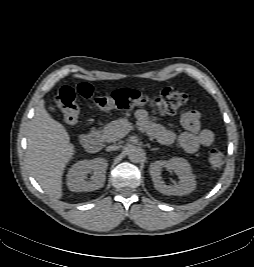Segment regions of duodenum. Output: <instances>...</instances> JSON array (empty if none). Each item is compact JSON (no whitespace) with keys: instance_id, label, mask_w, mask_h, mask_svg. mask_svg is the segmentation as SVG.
<instances>
[{"instance_id":"duodenum-1","label":"duodenum","mask_w":254,"mask_h":267,"mask_svg":"<svg viewBox=\"0 0 254 267\" xmlns=\"http://www.w3.org/2000/svg\"><path fill=\"white\" fill-rule=\"evenodd\" d=\"M81 145L91 153L98 152L101 149L102 141L99 133L96 130H92L87 134L80 137Z\"/></svg>"}]
</instances>
